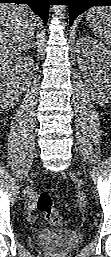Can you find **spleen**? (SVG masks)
I'll return each mask as SVG.
<instances>
[{
	"mask_svg": "<svg viewBox=\"0 0 111 257\" xmlns=\"http://www.w3.org/2000/svg\"><path fill=\"white\" fill-rule=\"evenodd\" d=\"M86 21L92 32L111 47V6L91 8Z\"/></svg>",
	"mask_w": 111,
	"mask_h": 257,
	"instance_id": "spleen-1",
	"label": "spleen"
}]
</instances>
